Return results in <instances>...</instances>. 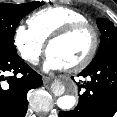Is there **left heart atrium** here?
<instances>
[{"label":"left heart atrium","mask_w":117,"mask_h":117,"mask_svg":"<svg viewBox=\"0 0 117 117\" xmlns=\"http://www.w3.org/2000/svg\"><path fill=\"white\" fill-rule=\"evenodd\" d=\"M67 68V66L58 58L48 53L44 63V70L46 72L60 71Z\"/></svg>","instance_id":"left-heart-atrium-1"}]
</instances>
